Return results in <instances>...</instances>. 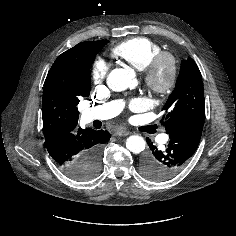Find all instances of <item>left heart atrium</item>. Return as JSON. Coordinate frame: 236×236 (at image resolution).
Masks as SVG:
<instances>
[{
  "label": "left heart atrium",
  "mask_w": 236,
  "mask_h": 236,
  "mask_svg": "<svg viewBox=\"0 0 236 236\" xmlns=\"http://www.w3.org/2000/svg\"><path fill=\"white\" fill-rule=\"evenodd\" d=\"M140 102L138 100L133 101L132 105L137 106Z\"/></svg>",
  "instance_id": "1"
}]
</instances>
